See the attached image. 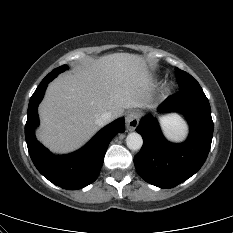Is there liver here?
<instances>
[{"mask_svg":"<svg viewBox=\"0 0 233 233\" xmlns=\"http://www.w3.org/2000/svg\"><path fill=\"white\" fill-rule=\"evenodd\" d=\"M151 76L145 60L135 54L114 53L59 76L48 86L39 107L38 139L52 152L79 148L99 129L96 119L111 112L147 104Z\"/></svg>","mask_w":233,"mask_h":233,"instance_id":"liver-1","label":"liver"}]
</instances>
